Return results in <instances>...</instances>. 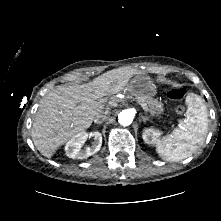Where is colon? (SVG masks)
<instances>
[{"mask_svg":"<svg viewBox=\"0 0 221 221\" xmlns=\"http://www.w3.org/2000/svg\"><path fill=\"white\" fill-rule=\"evenodd\" d=\"M186 95V90L184 88H173L168 92V97L169 99L180 102ZM178 113L183 112V107L182 106H177L176 108Z\"/></svg>","mask_w":221,"mask_h":221,"instance_id":"obj_1","label":"colon"}]
</instances>
